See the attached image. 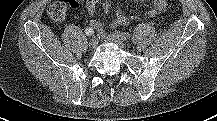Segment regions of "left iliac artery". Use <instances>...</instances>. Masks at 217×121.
<instances>
[{"label": "left iliac artery", "mask_w": 217, "mask_h": 121, "mask_svg": "<svg viewBox=\"0 0 217 121\" xmlns=\"http://www.w3.org/2000/svg\"><path fill=\"white\" fill-rule=\"evenodd\" d=\"M117 36L120 37L122 40L126 41L130 38L131 34L128 32H121V31H117L116 32Z\"/></svg>", "instance_id": "44dca946"}]
</instances>
